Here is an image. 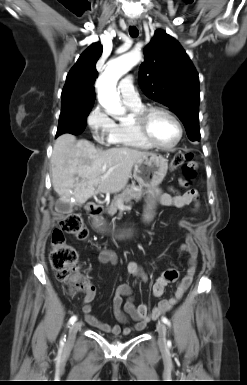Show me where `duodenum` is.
<instances>
[{
  "mask_svg": "<svg viewBox=\"0 0 247 385\" xmlns=\"http://www.w3.org/2000/svg\"><path fill=\"white\" fill-rule=\"evenodd\" d=\"M87 213L93 217V218H98L102 214V207L100 204L96 202H90L87 205ZM95 226H98V222L93 223Z\"/></svg>",
  "mask_w": 247,
  "mask_h": 385,
  "instance_id": "410a0bca",
  "label": "duodenum"
}]
</instances>
